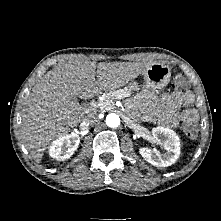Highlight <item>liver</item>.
<instances>
[{"mask_svg":"<svg viewBox=\"0 0 221 221\" xmlns=\"http://www.w3.org/2000/svg\"><path fill=\"white\" fill-rule=\"evenodd\" d=\"M150 65L71 61L48 71L32 88L21 115V137L32 158L39 163L53 140L82 121L77 97L90 99L102 91L120 88Z\"/></svg>","mask_w":221,"mask_h":221,"instance_id":"liver-1","label":"liver"}]
</instances>
